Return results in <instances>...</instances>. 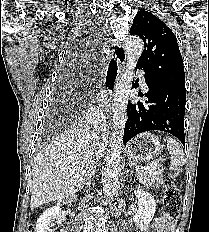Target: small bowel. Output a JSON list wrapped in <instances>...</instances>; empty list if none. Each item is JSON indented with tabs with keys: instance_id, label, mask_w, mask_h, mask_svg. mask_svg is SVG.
I'll return each instance as SVG.
<instances>
[{
	"instance_id": "obj_1",
	"label": "small bowel",
	"mask_w": 209,
	"mask_h": 232,
	"mask_svg": "<svg viewBox=\"0 0 209 232\" xmlns=\"http://www.w3.org/2000/svg\"><path fill=\"white\" fill-rule=\"evenodd\" d=\"M174 224L163 218H157L149 228L143 232H173Z\"/></svg>"
}]
</instances>
